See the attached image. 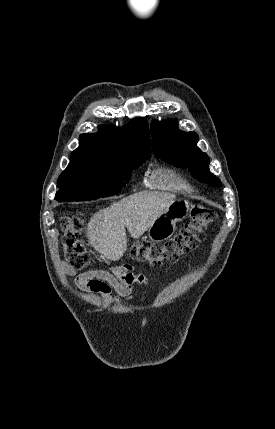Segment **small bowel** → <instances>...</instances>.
<instances>
[{
  "instance_id": "1",
  "label": "small bowel",
  "mask_w": 275,
  "mask_h": 429,
  "mask_svg": "<svg viewBox=\"0 0 275 429\" xmlns=\"http://www.w3.org/2000/svg\"><path fill=\"white\" fill-rule=\"evenodd\" d=\"M74 285L81 290L100 293L106 297L112 296V288L119 297L131 301L134 299L133 284H147L148 279L143 274H134L131 265H124L113 272L104 270H90L72 278ZM115 299H118L116 297Z\"/></svg>"
}]
</instances>
